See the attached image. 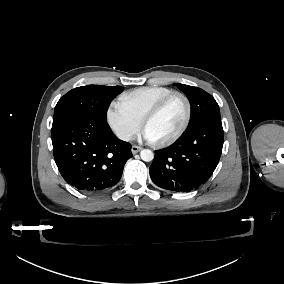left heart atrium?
<instances>
[{"instance_id": "obj_1", "label": "left heart atrium", "mask_w": 284, "mask_h": 284, "mask_svg": "<svg viewBox=\"0 0 284 284\" xmlns=\"http://www.w3.org/2000/svg\"><path fill=\"white\" fill-rule=\"evenodd\" d=\"M138 137L148 142H154L153 137L146 129L141 130L138 134Z\"/></svg>"}]
</instances>
